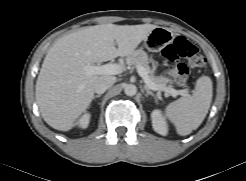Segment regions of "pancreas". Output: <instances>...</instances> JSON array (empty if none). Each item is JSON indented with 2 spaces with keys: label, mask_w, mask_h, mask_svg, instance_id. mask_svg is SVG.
<instances>
[{
  "label": "pancreas",
  "mask_w": 246,
  "mask_h": 181,
  "mask_svg": "<svg viewBox=\"0 0 246 181\" xmlns=\"http://www.w3.org/2000/svg\"><path fill=\"white\" fill-rule=\"evenodd\" d=\"M126 64L128 66H142L148 73L149 78L161 87H166L168 83L173 82L170 78L163 75L155 76L154 71L149 66L148 55L142 49L135 50L131 55L127 56Z\"/></svg>",
  "instance_id": "cf45deb5"
}]
</instances>
